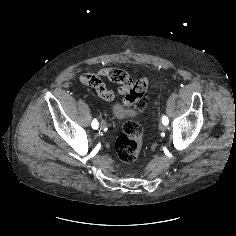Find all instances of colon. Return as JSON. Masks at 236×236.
Wrapping results in <instances>:
<instances>
[{"label":"colon","mask_w":236,"mask_h":236,"mask_svg":"<svg viewBox=\"0 0 236 236\" xmlns=\"http://www.w3.org/2000/svg\"><path fill=\"white\" fill-rule=\"evenodd\" d=\"M145 91L133 102L137 109H144L147 105ZM142 137L143 132L139 123L135 121L124 123L122 132L115 141L116 153L123 162L129 163L136 160L141 151Z\"/></svg>","instance_id":"colon-1"}]
</instances>
